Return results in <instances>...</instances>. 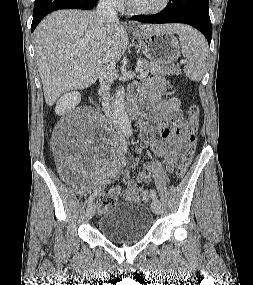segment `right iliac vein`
<instances>
[{
  "label": "right iliac vein",
  "mask_w": 253,
  "mask_h": 285,
  "mask_svg": "<svg viewBox=\"0 0 253 285\" xmlns=\"http://www.w3.org/2000/svg\"><path fill=\"white\" fill-rule=\"evenodd\" d=\"M96 206L95 203L90 202L87 206L86 214L88 219H91L95 214Z\"/></svg>",
  "instance_id": "1"
}]
</instances>
